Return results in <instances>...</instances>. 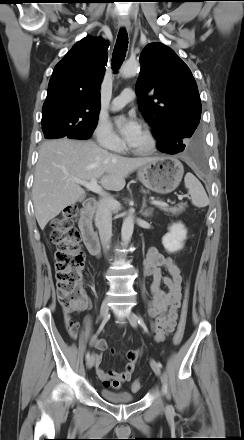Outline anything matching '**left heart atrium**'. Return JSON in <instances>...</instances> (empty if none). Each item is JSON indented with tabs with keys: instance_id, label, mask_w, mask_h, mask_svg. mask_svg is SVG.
<instances>
[{
	"instance_id": "obj_1",
	"label": "left heart atrium",
	"mask_w": 244,
	"mask_h": 440,
	"mask_svg": "<svg viewBox=\"0 0 244 440\" xmlns=\"http://www.w3.org/2000/svg\"><path fill=\"white\" fill-rule=\"evenodd\" d=\"M116 124L121 135L129 144L133 143L141 132L139 123L133 118L119 117L116 119Z\"/></svg>"
}]
</instances>
